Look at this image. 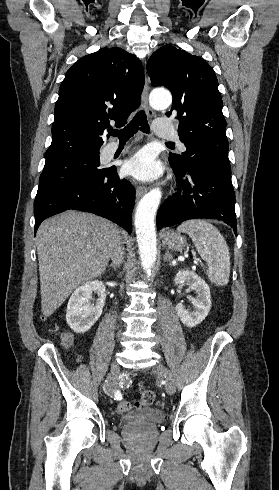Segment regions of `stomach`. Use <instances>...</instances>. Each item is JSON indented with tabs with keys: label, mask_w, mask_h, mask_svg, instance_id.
I'll return each mask as SVG.
<instances>
[{
	"label": "stomach",
	"mask_w": 279,
	"mask_h": 490,
	"mask_svg": "<svg viewBox=\"0 0 279 490\" xmlns=\"http://www.w3.org/2000/svg\"><path fill=\"white\" fill-rule=\"evenodd\" d=\"M161 240L163 246H166L169 250H174V252H180L186 246L185 238L180 236L178 232H173V230H162Z\"/></svg>",
	"instance_id": "0dacf381"
}]
</instances>
